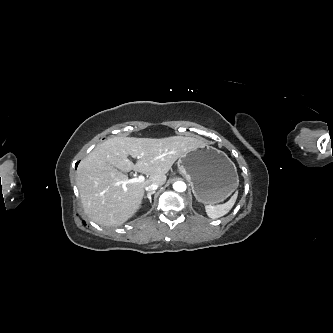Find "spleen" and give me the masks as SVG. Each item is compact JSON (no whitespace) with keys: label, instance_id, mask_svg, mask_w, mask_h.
<instances>
[{"label":"spleen","instance_id":"3e777b00","mask_svg":"<svg viewBox=\"0 0 333 333\" xmlns=\"http://www.w3.org/2000/svg\"><path fill=\"white\" fill-rule=\"evenodd\" d=\"M238 192H236L229 201L221 205H206L205 210L208 217L216 219L226 215L234 206L237 199Z\"/></svg>","mask_w":333,"mask_h":333}]
</instances>
